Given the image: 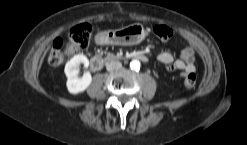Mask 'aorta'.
I'll use <instances>...</instances> for the list:
<instances>
[{"mask_svg":"<svg viewBox=\"0 0 247 145\" xmlns=\"http://www.w3.org/2000/svg\"><path fill=\"white\" fill-rule=\"evenodd\" d=\"M130 68L132 70H136V71L139 70L140 69V62L138 60H132L130 62Z\"/></svg>","mask_w":247,"mask_h":145,"instance_id":"obj_1","label":"aorta"}]
</instances>
